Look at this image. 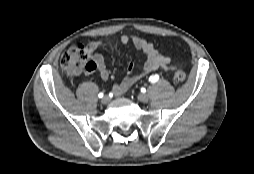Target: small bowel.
Listing matches in <instances>:
<instances>
[{"instance_id":"c3829d8e","label":"small bowel","mask_w":254,"mask_h":174,"mask_svg":"<svg viewBox=\"0 0 254 174\" xmlns=\"http://www.w3.org/2000/svg\"><path fill=\"white\" fill-rule=\"evenodd\" d=\"M119 41L124 45L132 44L145 56V62L140 76L147 75L159 69L164 71H171L174 69L170 58L160 53L151 42L136 35H122ZM113 44L114 40L103 39L92 41L86 45L87 53L94 64L93 71L97 72L103 80H108L110 78V71L106 66L104 56L100 52V49ZM133 70V64H128L126 67L127 76L121 83L114 85L112 88L114 95L120 96L126 93L138 81L140 76L133 75Z\"/></svg>"}]
</instances>
